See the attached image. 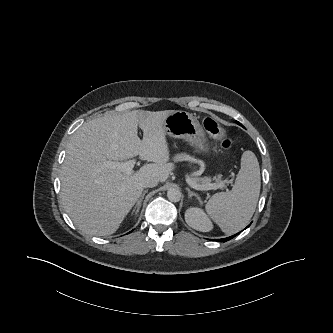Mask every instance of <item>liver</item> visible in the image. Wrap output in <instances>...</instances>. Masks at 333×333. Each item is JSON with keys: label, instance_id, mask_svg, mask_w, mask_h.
Masks as SVG:
<instances>
[{"label": "liver", "instance_id": "1", "mask_svg": "<svg viewBox=\"0 0 333 333\" xmlns=\"http://www.w3.org/2000/svg\"><path fill=\"white\" fill-rule=\"evenodd\" d=\"M173 112L107 113L73 134L61 170V198L79 230L95 236L113 234L141 196L144 181L168 179L171 164L164 121ZM138 155L152 163L132 174L104 166L105 161Z\"/></svg>", "mask_w": 333, "mask_h": 333}]
</instances>
